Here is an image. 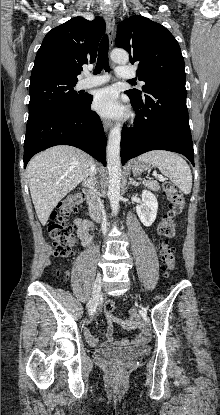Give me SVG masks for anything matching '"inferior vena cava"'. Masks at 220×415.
Here are the masks:
<instances>
[{"label": "inferior vena cava", "instance_id": "602c4592", "mask_svg": "<svg viewBox=\"0 0 220 415\" xmlns=\"http://www.w3.org/2000/svg\"><path fill=\"white\" fill-rule=\"evenodd\" d=\"M84 184L89 188L90 192V204L100 214L102 213V231L104 235L107 233V220L104 214V206L97 194V180H96V167L94 163H91L89 168V177L84 181ZM98 220V218H97Z\"/></svg>", "mask_w": 220, "mask_h": 415}]
</instances>
